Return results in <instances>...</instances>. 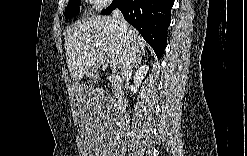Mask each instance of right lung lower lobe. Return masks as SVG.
I'll list each match as a JSON object with an SVG mask.
<instances>
[{"instance_id": "right-lung-lower-lobe-1", "label": "right lung lower lobe", "mask_w": 247, "mask_h": 156, "mask_svg": "<svg viewBox=\"0 0 247 156\" xmlns=\"http://www.w3.org/2000/svg\"><path fill=\"white\" fill-rule=\"evenodd\" d=\"M173 4L174 0H114L102 14L118 8L160 58L167 43Z\"/></svg>"}]
</instances>
